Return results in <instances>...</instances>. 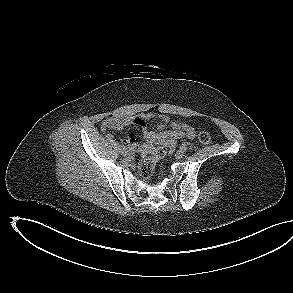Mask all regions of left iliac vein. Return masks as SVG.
Listing matches in <instances>:
<instances>
[{"label": "left iliac vein", "instance_id": "left-iliac-vein-1", "mask_svg": "<svg viewBox=\"0 0 293 293\" xmlns=\"http://www.w3.org/2000/svg\"><path fill=\"white\" fill-rule=\"evenodd\" d=\"M184 156V152L182 150H178L176 153H175V157L177 159H181L182 157Z\"/></svg>", "mask_w": 293, "mask_h": 293}]
</instances>
